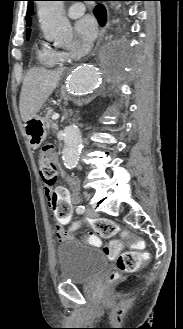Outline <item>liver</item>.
Returning a JSON list of instances; mask_svg holds the SVG:
<instances>
[{"instance_id":"6515ba94","label":"liver","mask_w":183,"mask_h":329,"mask_svg":"<svg viewBox=\"0 0 183 329\" xmlns=\"http://www.w3.org/2000/svg\"><path fill=\"white\" fill-rule=\"evenodd\" d=\"M61 71H49L40 67L30 69L23 81L19 109L23 122L28 121L41 109L56 88Z\"/></svg>"}]
</instances>
